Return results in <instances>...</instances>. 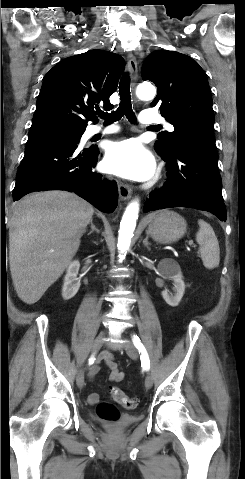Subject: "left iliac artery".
Segmentation results:
<instances>
[{
    "label": "left iliac artery",
    "mask_w": 245,
    "mask_h": 479,
    "mask_svg": "<svg viewBox=\"0 0 245 479\" xmlns=\"http://www.w3.org/2000/svg\"><path fill=\"white\" fill-rule=\"evenodd\" d=\"M133 343L135 347L138 349L139 353L141 354V363L143 366L148 370L150 368V360L148 357V353L144 347V345L141 343L139 337L137 335H134L133 338Z\"/></svg>",
    "instance_id": "left-iliac-artery-1"
}]
</instances>
